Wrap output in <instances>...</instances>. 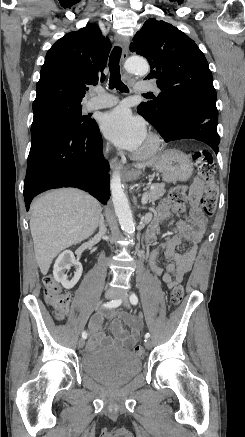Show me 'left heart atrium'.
I'll return each mask as SVG.
<instances>
[{"instance_id":"obj_1","label":"left heart atrium","mask_w":245,"mask_h":437,"mask_svg":"<svg viewBox=\"0 0 245 437\" xmlns=\"http://www.w3.org/2000/svg\"><path fill=\"white\" fill-rule=\"evenodd\" d=\"M100 127L105 137L116 146L131 151H138L146 138L143 121L124 106L105 113Z\"/></svg>"}]
</instances>
